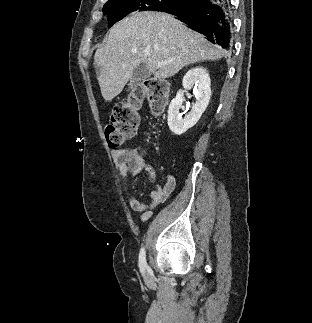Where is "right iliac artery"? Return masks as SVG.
<instances>
[{"label": "right iliac artery", "mask_w": 312, "mask_h": 323, "mask_svg": "<svg viewBox=\"0 0 312 323\" xmlns=\"http://www.w3.org/2000/svg\"><path fill=\"white\" fill-rule=\"evenodd\" d=\"M139 267L140 270L143 272L147 267L146 258H145V249L142 248L139 253Z\"/></svg>", "instance_id": "82829eb1"}]
</instances>
